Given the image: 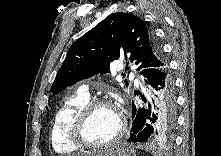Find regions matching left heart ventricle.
<instances>
[{"mask_svg": "<svg viewBox=\"0 0 221 156\" xmlns=\"http://www.w3.org/2000/svg\"><path fill=\"white\" fill-rule=\"evenodd\" d=\"M119 129V117L117 112L108 107L95 110L89 117L84 136L92 143H104L110 140Z\"/></svg>", "mask_w": 221, "mask_h": 156, "instance_id": "left-heart-ventricle-1", "label": "left heart ventricle"}]
</instances>
